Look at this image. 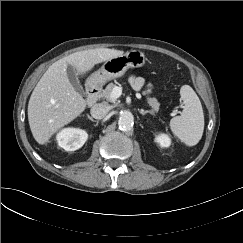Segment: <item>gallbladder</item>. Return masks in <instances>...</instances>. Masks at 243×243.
Here are the masks:
<instances>
[{
	"instance_id": "obj_1",
	"label": "gallbladder",
	"mask_w": 243,
	"mask_h": 243,
	"mask_svg": "<svg viewBox=\"0 0 243 243\" xmlns=\"http://www.w3.org/2000/svg\"><path fill=\"white\" fill-rule=\"evenodd\" d=\"M67 76H68V79H69L70 83L74 87V89L78 93L84 94V89H83V87L81 86V84H80V82L78 80V77L76 75V72H75L73 66H71V65L67 66Z\"/></svg>"
}]
</instances>
